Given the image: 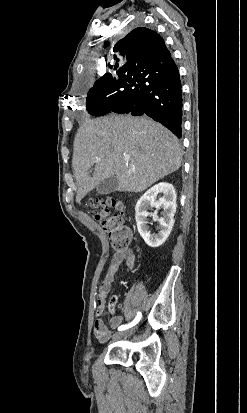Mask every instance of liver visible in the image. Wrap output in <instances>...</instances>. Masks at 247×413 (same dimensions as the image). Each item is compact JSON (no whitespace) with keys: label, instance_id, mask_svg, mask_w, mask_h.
I'll return each instance as SVG.
<instances>
[{"label":"liver","instance_id":"6515ba94","mask_svg":"<svg viewBox=\"0 0 247 413\" xmlns=\"http://www.w3.org/2000/svg\"><path fill=\"white\" fill-rule=\"evenodd\" d=\"M181 160L177 136L148 116L84 118L74 138L72 158L78 186L76 202L80 204L100 180L114 174L118 190L141 192L177 170Z\"/></svg>","mask_w":247,"mask_h":413}]
</instances>
